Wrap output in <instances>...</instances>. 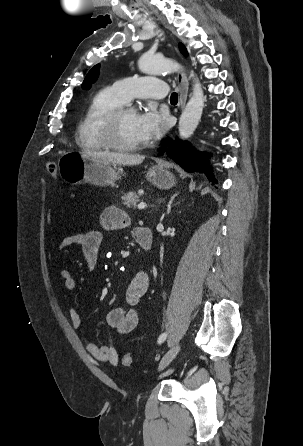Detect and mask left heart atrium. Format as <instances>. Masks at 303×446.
<instances>
[{
  "instance_id": "39dd6f15",
  "label": "left heart atrium",
  "mask_w": 303,
  "mask_h": 446,
  "mask_svg": "<svg viewBox=\"0 0 303 446\" xmlns=\"http://www.w3.org/2000/svg\"><path fill=\"white\" fill-rule=\"evenodd\" d=\"M136 132L141 141L159 139L167 130L168 117L155 107H149L136 115Z\"/></svg>"
}]
</instances>
